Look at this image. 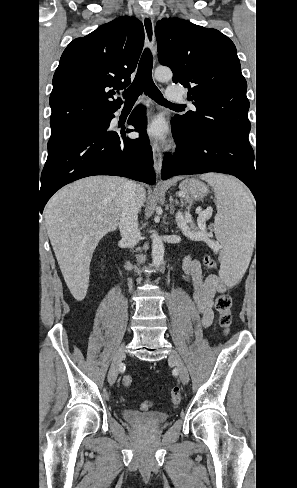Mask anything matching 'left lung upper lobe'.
<instances>
[{
  "label": "left lung upper lobe",
  "instance_id": "obj_1",
  "mask_svg": "<svg viewBox=\"0 0 297 488\" xmlns=\"http://www.w3.org/2000/svg\"><path fill=\"white\" fill-rule=\"evenodd\" d=\"M155 34L158 60L171 68L174 83L189 89L196 111L175 115L185 134H214L249 144L247 83L234 43L216 29L162 19Z\"/></svg>",
  "mask_w": 297,
  "mask_h": 488
}]
</instances>
